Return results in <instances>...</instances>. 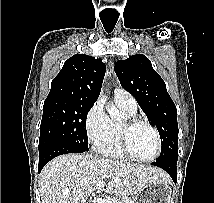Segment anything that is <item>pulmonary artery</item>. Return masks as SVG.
<instances>
[{
	"label": "pulmonary artery",
	"instance_id": "pulmonary-artery-1",
	"mask_svg": "<svg viewBox=\"0 0 214 203\" xmlns=\"http://www.w3.org/2000/svg\"><path fill=\"white\" fill-rule=\"evenodd\" d=\"M115 99H118L130 109H137V102L135 98L129 92L125 91L122 88L115 89Z\"/></svg>",
	"mask_w": 214,
	"mask_h": 203
}]
</instances>
